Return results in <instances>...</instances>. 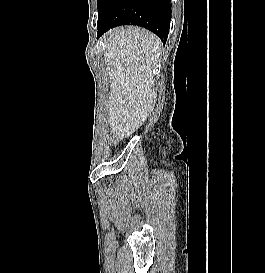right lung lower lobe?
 <instances>
[{
	"label": "right lung lower lobe",
	"mask_w": 265,
	"mask_h": 273,
	"mask_svg": "<svg viewBox=\"0 0 265 273\" xmlns=\"http://www.w3.org/2000/svg\"><path fill=\"white\" fill-rule=\"evenodd\" d=\"M170 0H114L97 26L99 38L119 25H138L155 33L165 43L170 28Z\"/></svg>",
	"instance_id": "right-lung-lower-lobe-1"
}]
</instances>
